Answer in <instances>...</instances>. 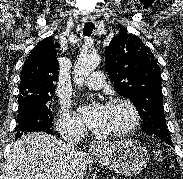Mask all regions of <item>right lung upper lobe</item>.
<instances>
[{
  "instance_id": "1",
  "label": "right lung upper lobe",
  "mask_w": 183,
  "mask_h": 179,
  "mask_svg": "<svg viewBox=\"0 0 183 179\" xmlns=\"http://www.w3.org/2000/svg\"><path fill=\"white\" fill-rule=\"evenodd\" d=\"M53 37L40 41L30 52L21 71L18 99H31L55 94L59 64Z\"/></svg>"
}]
</instances>
